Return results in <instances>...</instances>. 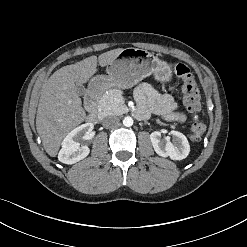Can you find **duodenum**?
I'll return each mask as SVG.
<instances>
[{"mask_svg":"<svg viewBox=\"0 0 247 247\" xmlns=\"http://www.w3.org/2000/svg\"><path fill=\"white\" fill-rule=\"evenodd\" d=\"M102 94L100 86L92 87L85 97V105L88 110L86 120L90 123H96L99 120V111L97 108L99 98Z\"/></svg>","mask_w":247,"mask_h":247,"instance_id":"obj_1","label":"duodenum"}]
</instances>
